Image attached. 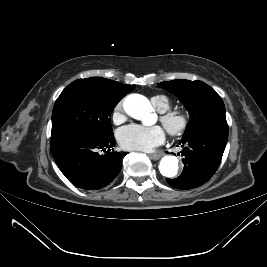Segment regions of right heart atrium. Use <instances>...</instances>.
Segmentation results:
<instances>
[{"label":"right heart atrium","instance_id":"1","mask_svg":"<svg viewBox=\"0 0 267 267\" xmlns=\"http://www.w3.org/2000/svg\"><path fill=\"white\" fill-rule=\"evenodd\" d=\"M112 119L115 123H120L124 119L122 103H119L114 108Z\"/></svg>","mask_w":267,"mask_h":267}]
</instances>
